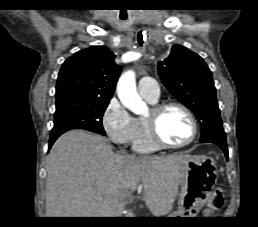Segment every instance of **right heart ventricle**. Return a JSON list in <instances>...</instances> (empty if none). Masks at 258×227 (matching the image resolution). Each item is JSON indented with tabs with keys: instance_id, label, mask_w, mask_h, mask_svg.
<instances>
[{
	"instance_id": "obj_1",
	"label": "right heart ventricle",
	"mask_w": 258,
	"mask_h": 227,
	"mask_svg": "<svg viewBox=\"0 0 258 227\" xmlns=\"http://www.w3.org/2000/svg\"><path fill=\"white\" fill-rule=\"evenodd\" d=\"M147 100V99H146ZM148 102L154 104L156 101ZM138 131L135 139L132 142L133 150L138 153H151L158 149V146L153 142L145 118L136 119Z\"/></svg>"
}]
</instances>
